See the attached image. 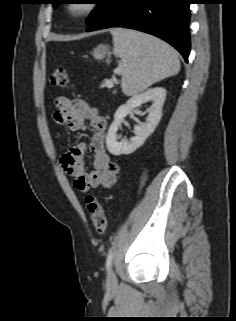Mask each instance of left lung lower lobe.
<instances>
[{
    "instance_id": "left-lung-lower-lobe-1",
    "label": "left lung lower lobe",
    "mask_w": 236,
    "mask_h": 321,
    "mask_svg": "<svg viewBox=\"0 0 236 321\" xmlns=\"http://www.w3.org/2000/svg\"><path fill=\"white\" fill-rule=\"evenodd\" d=\"M191 3L193 0H112L86 31L110 27L142 31L168 42L187 62Z\"/></svg>"
}]
</instances>
